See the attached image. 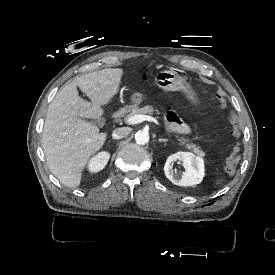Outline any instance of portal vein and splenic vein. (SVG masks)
Returning a JSON list of instances; mask_svg holds the SVG:
<instances>
[{
  "label": "portal vein and splenic vein",
  "instance_id": "1",
  "mask_svg": "<svg viewBox=\"0 0 275 275\" xmlns=\"http://www.w3.org/2000/svg\"><path fill=\"white\" fill-rule=\"evenodd\" d=\"M142 121H148V122H153L157 126H160V122L154 117L150 115H134L126 118L125 124L127 125H133V124H138Z\"/></svg>",
  "mask_w": 275,
  "mask_h": 275
}]
</instances>
